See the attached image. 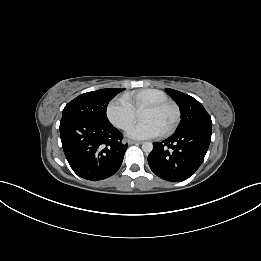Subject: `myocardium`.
<instances>
[{"label": "myocardium", "mask_w": 261, "mask_h": 261, "mask_svg": "<svg viewBox=\"0 0 261 261\" xmlns=\"http://www.w3.org/2000/svg\"><path fill=\"white\" fill-rule=\"evenodd\" d=\"M145 109H151V110L171 109L173 111L174 117L170 125L164 130L163 133L165 135L172 133L177 128L180 122V110L174 102L167 100L162 102L150 103L145 106Z\"/></svg>", "instance_id": "1"}]
</instances>
